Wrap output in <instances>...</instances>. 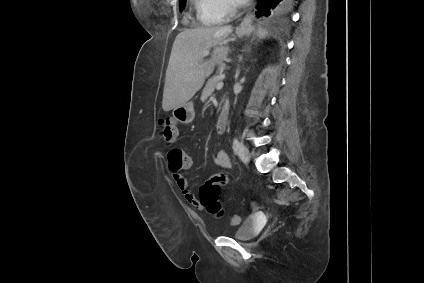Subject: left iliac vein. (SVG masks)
Returning <instances> with one entry per match:
<instances>
[{
    "mask_svg": "<svg viewBox=\"0 0 424 283\" xmlns=\"http://www.w3.org/2000/svg\"><path fill=\"white\" fill-rule=\"evenodd\" d=\"M238 156L241 159V161H243L244 163L249 162L250 153H249L248 148L245 145H243V144L240 145V148L238 150Z\"/></svg>",
    "mask_w": 424,
    "mask_h": 283,
    "instance_id": "left-iliac-vein-1",
    "label": "left iliac vein"
}]
</instances>
